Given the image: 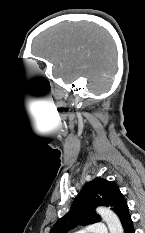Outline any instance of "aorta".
Here are the masks:
<instances>
[{
	"label": "aorta",
	"instance_id": "aorta-1",
	"mask_svg": "<svg viewBox=\"0 0 145 233\" xmlns=\"http://www.w3.org/2000/svg\"><path fill=\"white\" fill-rule=\"evenodd\" d=\"M96 212L106 222L110 233H123V227L117 215L109 208L98 207Z\"/></svg>",
	"mask_w": 145,
	"mask_h": 233
}]
</instances>
